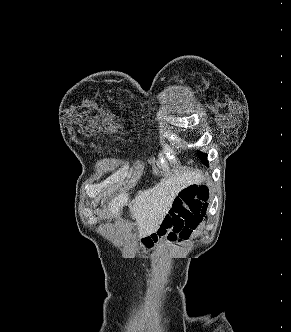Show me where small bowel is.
I'll return each instance as SVG.
<instances>
[{
  "label": "small bowel",
  "instance_id": "small-bowel-1",
  "mask_svg": "<svg viewBox=\"0 0 291 332\" xmlns=\"http://www.w3.org/2000/svg\"><path fill=\"white\" fill-rule=\"evenodd\" d=\"M198 187L195 185V184H189V185H186L182 191H193V190H196Z\"/></svg>",
  "mask_w": 291,
  "mask_h": 332
}]
</instances>
